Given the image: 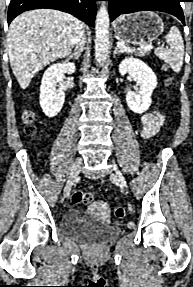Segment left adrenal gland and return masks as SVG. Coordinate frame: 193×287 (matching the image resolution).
I'll return each mask as SVG.
<instances>
[{
    "mask_svg": "<svg viewBox=\"0 0 193 287\" xmlns=\"http://www.w3.org/2000/svg\"><path fill=\"white\" fill-rule=\"evenodd\" d=\"M118 53H122V51H120V50L118 49V47L116 46L115 49H114V52H113V56L115 57L116 54H118Z\"/></svg>",
    "mask_w": 193,
    "mask_h": 287,
    "instance_id": "left-adrenal-gland-1",
    "label": "left adrenal gland"
}]
</instances>
